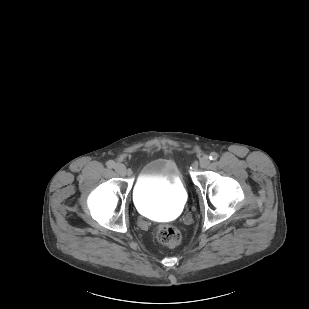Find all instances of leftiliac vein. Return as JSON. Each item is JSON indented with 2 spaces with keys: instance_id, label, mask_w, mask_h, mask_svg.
<instances>
[{
  "instance_id": "4c4485c4",
  "label": "left iliac vein",
  "mask_w": 309,
  "mask_h": 309,
  "mask_svg": "<svg viewBox=\"0 0 309 309\" xmlns=\"http://www.w3.org/2000/svg\"><path fill=\"white\" fill-rule=\"evenodd\" d=\"M210 163V158L208 155H204L201 159H200V167L201 168H206Z\"/></svg>"
}]
</instances>
